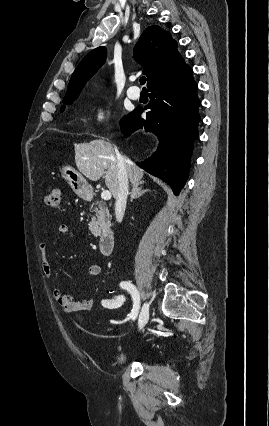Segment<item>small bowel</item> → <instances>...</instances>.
Returning <instances> with one entry per match:
<instances>
[{"label": "small bowel", "mask_w": 269, "mask_h": 426, "mask_svg": "<svg viewBox=\"0 0 269 426\" xmlns=\"http://www.w3.org/2000/svg\"><path fill=\"white\" fill-rule=\"evenodd\" d=\"M57 232L60 236H67L71 239H77V235L69 228L66 224H61L57 228ZM38 251L42 262V271L47 278H52L53 269L48 260L47 244L42 242L38 245ZM102 272V266L99 264H92L88 267L86 275L89 278L97 277ZM123 288V287H122ZM53 297L56 300L60 310L65 314H75L91 309L95 300L84 297L77 299L65 293L61 288L55 287L53 290Z\"/></svg>", "instance_id": "1"}]
</instances>
